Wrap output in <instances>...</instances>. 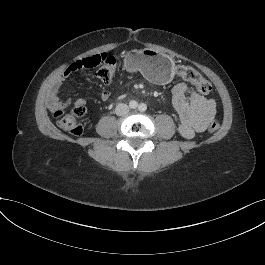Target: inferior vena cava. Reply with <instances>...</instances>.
<instances>
[{
	"mask_svg": "<svg viewBox=\"0 0 265 265\" xmlns=\"http://www.w3.org/2000/svg\"><path fill=\"white\" fill-rule=\"evenodd\" d=\"M129 112V106L124 103H120L116 106L115 113L119 116H123Z\"/></svg>",
	"mask_w": 265,
	"mask_h": 265,
	"instance_id": "obj_1",
	"label": "inferior vena cava"
}]
</instances>
